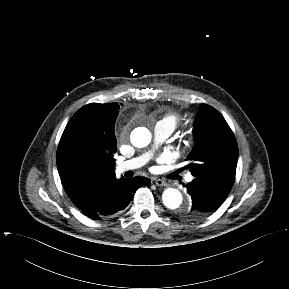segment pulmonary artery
<instances>
[{
	"label": "pulmonary artery",
	"mask_w": 289,
	"mask_h": 289,
	"mask_svg": "<svg viewBox=\"0 0 289 289\" xmlns=\"http://www.w3.org/2000/svg\"><path fill=\"white\" fill-rule=\"evenodd\" d=\"M173 128L165 121L160 120L156 123L154 127V141L156 144H159L163 142L165 139H167L173 132ZM150 155L143 154L141 156L132 158L130 160L122 161L117 163L116 165V172L117 173H123L129 170L137 169L141 166H143L149 159ZM193 180L192 175H188L186 177V181L190 182Z\"/></svg>",
	"instance_id": "obj_1"
}]
</instances>
